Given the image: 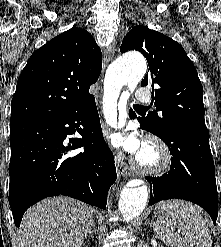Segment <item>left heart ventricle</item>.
Here are the masks:
<instances>
[{
  "label": "left heart ventricle",
  "mask_w": 221,
  "mask_h": 247,
  "mask_svg": "<svg viewBox=\"0 0 221 247\" xmlns=\"http://www.w3.org/2000/svg\"><path fill=\"white\" fill-rule=\"evenodd\" d=\"M140 153L142 155V158L145 161H147V162L153 161L154 156H153L152 152L149 149H142Z\"/></svg>",
  "instance_id": "left-heart-ventricle-1"
}]
</instances>
